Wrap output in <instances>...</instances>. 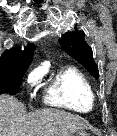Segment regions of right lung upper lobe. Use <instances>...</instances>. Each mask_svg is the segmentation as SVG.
<instances>
[{
  "label": "right lung upper lobe",
  "mask_w": 117,
  "mask_h": 136,
  "mask_svg": "<svg viewBox=\"0 0 117 136\" xmlns=\"http://www.w3.org/2000/svg\"><path fill=\"white\" fill-rule=\"evenodd\" d=\"M34 45L28 44L22 51L18 48L6 50L0 57V68L28 67L32 61Z\"/></svg>",
  "instance_id": "right-lung-upper-lobe-1"
}]
</instances>
